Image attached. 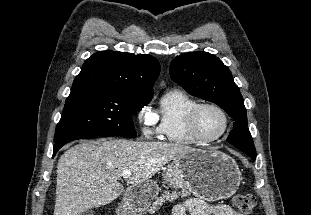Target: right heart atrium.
<instances>
[{"instance_id": "1", "label": "right heart atrium", "mask_w": 311, "mask_h": 215, "mask_svg": "<svg viewBox=\"0 0 311 215\" xmlns=\"http://www.w3.org/2000/svg\"><path fill=\"white\" fill-rule=\"evenodd\" d=\"M136 120L139 125L141 135L146 139H152L160 134L159 124L156 115L148 106L141 107L137 114Z\"/></svg>"}]
</instances>
